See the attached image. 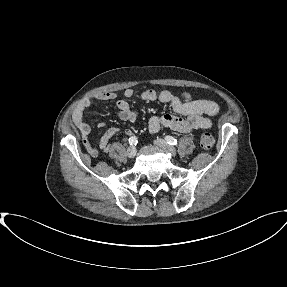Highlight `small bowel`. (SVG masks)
<instances>
[{
    "label": "small bowel",
    "instance_id": "obj_1",
    "mask_svg": "<svg viewBox=\"0 0 287 287\" xmlns=\"http://www.w3.org/2000/svg\"><path fill=\"white\" fill-rule=\"evenodd\" d=\"M124 96L131 98L134 92L131 89L124 91ZM117 97L114 92H99L93 96L84 99L73 112V122L83 137V143L87 152L91 156H96L98 151L95 147L89 144L88 138L91 134V127L85 121V110L90 107L96 100H113ZM141 98L145 101H160L169 104L174 112L184 115L178 117L172 114L163 116H152L148 121L149 131L156 133L162 128H169L180 133H190L197 129H209L212 127V122L209 117L215 116L219 112L217 103L211 100H196L189 93H185L183 98L176 97L167 90H145L141 94ZM118 108V116L122 121L133 123L137 120V114L130 108L129 103L120 99L116 102ZM104 122H99L98 127L103 128ZM117 128L108 129L100 138L99 148L107 150L109 141L118 133ZM125 134L131 135L132 130L126 129Z\"/></svg>",
    "mask_w": 287,
    "mask_h": 287
}]
</instances>
